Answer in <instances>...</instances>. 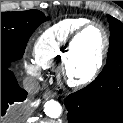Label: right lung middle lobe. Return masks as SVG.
Segmentation results:
<instances>
[{"mask_svg": "<svg viewBox=\"0 0 123 123\" xmlns=\"http://www.w3.org/2000/svg\"><path fill=\"white\" fill-rule=\"evenodd\" d=\"M49 19L39 10L1 12V66L22 58L32 33Z\"/></svg>", "mask_w": 123, "mask_h": 123, "instance_id": "obj_1", "label": "right lung middle lobe"}]
</instances>
